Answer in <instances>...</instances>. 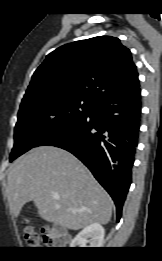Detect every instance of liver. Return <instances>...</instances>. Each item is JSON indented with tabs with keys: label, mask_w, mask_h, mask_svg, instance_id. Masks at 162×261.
Instances as JSON below:
<instances>
[{
	"label": "liver",
	"mask_w": 162,
	"mask_h": 261,
	"mask_svg": "<svg viewBox=\"0 0 162 261\" xmlns=\"http://www.w3.org/2000/svg\"><path fill=\"white\" fill-rule=\"evenodd\" d=\"M7 198L14 217L33 201L40 217L70 230L105 225L112 216L113 202L91 172L71 153L54 146L34 148L12 164Z\"/></svg>",
	"instance_id": "liver-1"
}]
</instances>
